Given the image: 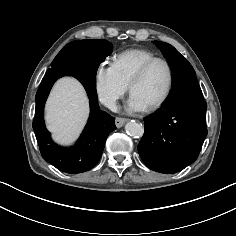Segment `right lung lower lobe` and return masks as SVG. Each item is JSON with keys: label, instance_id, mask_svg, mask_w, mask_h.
<instances>
[{"label": "right lung lower lobe", "instance_id": "obj_1", "mask_svg": "<svg viewBox=\"0 0 236 236\" xmlns=\"http://www.w3.org/2000/svg\"><path fill=\"white\" fill-rule=\"evenodd\" d=\"M111 53L90 42L74 44L64 53L69 65L48 69L38 88L33 129L42 157L63 172L74 174L92 169L102 155L107 136L116 129L115 118L99 109L95 87L97 69ZM65 75L76 77L85 87L90 100L88 123L76 144L70 148L56 145L44 123V105L50 89L58 78Z\"/></svg>", "mask_w": 236, "mask_h": 236}]
</instances>
